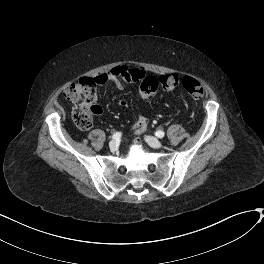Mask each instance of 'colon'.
I'll return each instance as SVG.
<instances>
[{"label":"colon","instance_id":"obj_1","mask_svg":"<svg viewBox=\"0 0 264 264\" xmlns=\"http://www.w3.org/2000/svg\"><path fill=\"white\" fill-rule=\"evenodd\" d=\"M115 71L118 73L120 70L116 69ZM178 85L179 77L176 74H166L159 78L148 76L140 82L139 92L142 98L150 99L155 96L159 86L168 92H174ZM182 85L194 99H200L205 94L201 83L192 76H184ZM63 95L73 105L72 118L76 126L81 130L90 129L93 123V115L98 112L95 80L82 78L68 84L64 88Z\"/></svg>","mask_w":264,"mask_h":264}]
</instances>
